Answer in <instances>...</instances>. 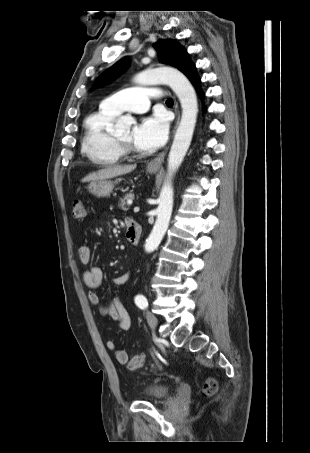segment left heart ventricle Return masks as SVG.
I'll list each match as a JSON object with an SVG mask.
<instances>
[{
  "label": "left heart ventricle",
  "mask_w": 310,
  "mask_h": 453,
  "mask_svg": "<svg viewBox=\"0 0 310 453\" xmlns=\"http://www.w3.org/2000/svg\"><path fill=\"white\" fill-rule=\"evenodd\" d=\"M116 137L123 142L132 143V129H128Z\"/></svg>",
  "instance_id": "left-heart-ventricle-1"
}]
</instances>
